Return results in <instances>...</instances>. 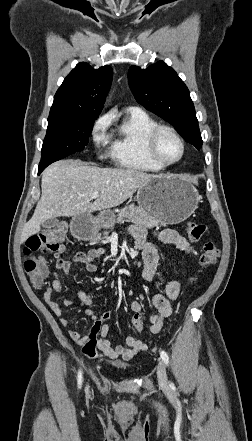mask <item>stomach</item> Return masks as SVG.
<instances>
[{
  "label": "stomach",
  "mask_w": 252,
  "mask_h": 441,
  "mask_svg": "<svg viewBox=\"0 0 252 441\" xmlns=\"http://www.w3.org/2000/svg\"><path fill=\"white\" fill-rule=\"evenodd\" d=\"M201 197L196 188L179 175L161 174L142 185L136 195L138 207L156 220L178 224L186 220L198 207ZM115 218L105 210L95 220V229L107 227Z\"/></svg>",
  "instance_id": "obj_1"
}]
</instances>
